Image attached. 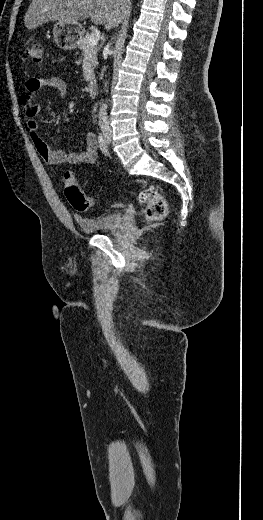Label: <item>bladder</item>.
<instances>
[{"instance_id": "1", "label": "bladder", "mask_w": 263, "mask_h": 520, "mask_svg": "<svg viewBox=\"0 0 263 520\" xmlns=\"http://www.w3.org/2000/svg\"><path fill=\"white\" fill-rule=\"evenodd\" d=\"M78 228L86 233L113 232L123 226V218L119 214H105L94 217H75Z\"/></svg>"}]
</instances>
